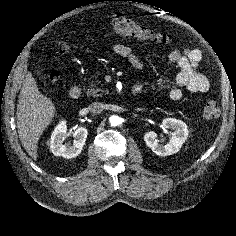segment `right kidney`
Returning <instances> with one entry per match:
<instances>
[{
	"mask_svg": "<svg viewBox=\"0 0 236 236\" xmlns=\"http://www.w3.org/2000/svg\"><path fill=\"white\" fill-rule=\"evenodd\" d=\"M67 134L66 121H60L55 127L51 139H50V149L55 156H62L64 158L70 159L78 156L88 135V131L84 127L74 128L73 136L75 138L73 145L63 144L64 138Z\"/></svg>",
	"mask_w": 236,
	"mask_h": 236,
	"instance_id": "1",
	"label": "right kidney"
}]
</instances>
